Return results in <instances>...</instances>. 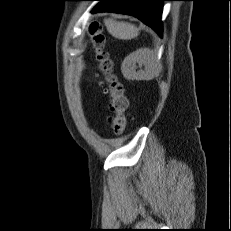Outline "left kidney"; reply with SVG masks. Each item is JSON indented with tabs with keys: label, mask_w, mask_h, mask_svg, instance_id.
<instances>
[{
	"label": "left kidney",
	"mask_w": 231,
	"mask_h": 231,
	"mask_svg": "<svg viewBox=\"0 0 231 231\" xmlns=\"http://www.w3.org/2000/svg\"><path fill=\"white\" fill-rule=\"evenodd\" d=\"M136 63L144 69L136 71ZM122 74L127 80H151L158 75L160 67L153 52L141 48L128 55L121 66Z\"/></svg>",
	"instance_id": "left-kidney-1"
}]
</instances>
